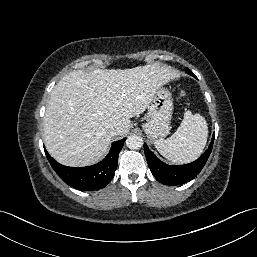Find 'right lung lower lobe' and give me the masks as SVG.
Returning a JSON list of instances; mask_svg holds the SVG:
<instances>
[{"instance_id": "right-lung-lower-lobe-1", "label": "right lung lower lobe", "mask_w": 257, "mask_h": 257, "mask_svg": "<svg viewBox=\"0 0 257 257\" xmlns=\"http://www.w3.org/2000/svg\"><path fill=\"white\" fill-rule=\"evenodd\" d=\"M126 138L112 143L108 155L99 163L81 167H67L56 162L45 150L47 159L58 176L69 186L78 190H99L113 178L118 164V155Z\"/></svg>"}]
</instances>
